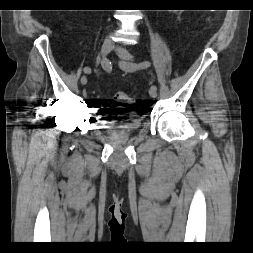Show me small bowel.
I'll use <instances>...</instances> for the list:
<instances>
[{"mask_svg": "<svg viewBox=\"0 0 253 253\" xmlns=\"http://www.w3.org/2000/svg\"><path fill=\"white\" fill-rule=\"evenodd\" d=\"M84 71H85L86 73H90V69H88V68H86Z\"/></svg>", "mask_w": 253, "mask_h": 253, "instance_id": "1", "label": "small bowel"}]
</instances>
